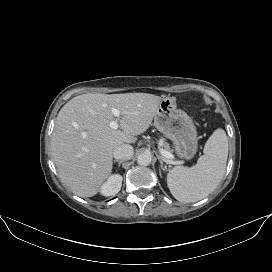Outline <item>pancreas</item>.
<instances>
[{"instance_id":"obj_1","label":"pancreas","mask_w":272,"mask_h":272,"mask_svg":"<svg viewBox=\"0 0 272 272\" xmlns=\"http://www.w3.org/2000/svg\"><path fill=\"white\" fill-rule=\"evenodd\" d=\"M162 147H163V149H164L165 151H169V152L172 151V150L170 149L169 144H168L167 142H165V141L162 142Z\"/></svg>"}]
</instances>
